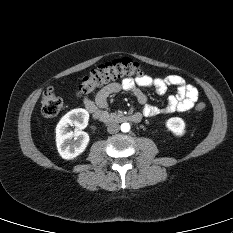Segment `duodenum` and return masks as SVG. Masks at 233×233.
<instances>
[{"instance_id":"duodenum-1","label":"duodenum","mask_w":233,"mask_h":233,"mask_svg":"<svg viewBox=\"0 0 233 233\" xmlns=\"http://www.w3.org/2000/svg\"><path fill=\"white\" fill-rule=\"evenodd\" d=\"M100 120L104 123H112V122H133L139 123L142 120L141 113H133L129 115H110L104 114L100 117Z\"/></svg>"}]
</instances>
